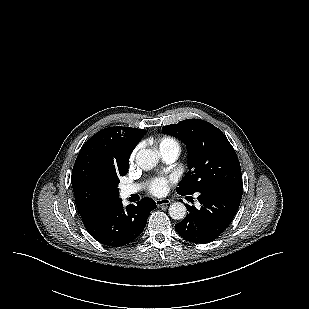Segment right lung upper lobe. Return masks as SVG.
<instances>
[{"label":"right lung upper lobe","instance_id":"1","mask_svg":"<svg viewBox=\"0 0 309 309\" xmlns=\"http://www.w3.org/2000/svg\"><path fill=\"white\" fill-rule=\"evenodd\" d=\"M146 130L109 127L94 134L81 148L71 183L82 219L119 198L110 184V173L129 165V157Z\"/></svg>","mask_w":309,"mask_h":309}]
</instances>
